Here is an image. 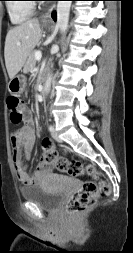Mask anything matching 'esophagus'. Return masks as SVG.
Masks as SVG:
<instances>
[{
    "mask_svg": "<svg viewBox=\"0 0 133 253\" xmlns=\"http://www.w3.org/2000/svg\"><path fill=\"white\" fill-rule=\"evenodd\" d=\"M54 9H55V5L53 4V5L48 9V11L45 12V13L42 15V19H43V20H49V19H51V14H52V12L54 11Z\"/></svg>",
    "mask_w": 133,
    "mask_h": 253,
    "instance_id": "obj_1",
    "label": "esophagus"
}]
</instances>
